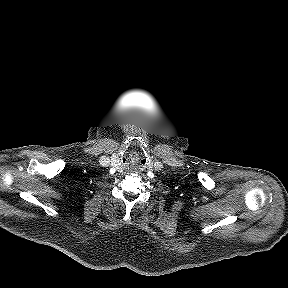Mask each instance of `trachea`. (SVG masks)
Returning <instances> with one entry per match:
<instances>
[{"label": "trachea", "instance_id": "obj_1", "mask_svg": "<svg viewBox=\"0 0 288 288\" xmlns=\"http://www.w3.org/2000/svg\"><path fill=\"white\" fill-rule=\"evenodd\" d=\"M127 160H128L129 164L135 165L140 160L139 154L138 153H134V152L129 153L128 156H127Z\"/></svg>", "mask_w": 288, "mask_h": 288}]
</instances>
